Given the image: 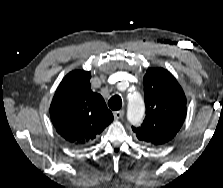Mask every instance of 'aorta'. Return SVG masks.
Here are the masks:
<instances>
[{"instance_id": "aorta-1", "label": "aorta", "mask_w": 223, "mask_h": 188, "mask_svg": "<svg viewBox=\"0 0 223 188\" xmlns=\"http://www.w3.org/2000/svg\"><path fill=\"white\" fill-rule=\"evenodd\" d=\"M145 114V105L142 96L139 93H133L128 97L127 119L132 124H138L142 121Z\"/></svg>"}]
</instances>
